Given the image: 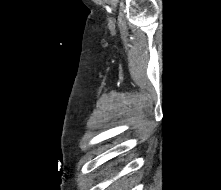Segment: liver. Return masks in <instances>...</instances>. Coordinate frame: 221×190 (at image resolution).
<instances>
[{"instance_id":"obj_1","label":"liver","mask_w":221,"mask_h":190,"mask_svg":"<svg viewBox=\"0 0 221 190\" xmlns=\"http://www.w3.org/2000/svg\"><path fill=\"white\" fill-rule=\"evenodd\" d=\"M115 188V185L112 186V190H121V189H114Z\"/></svg>"}]
</instances>
